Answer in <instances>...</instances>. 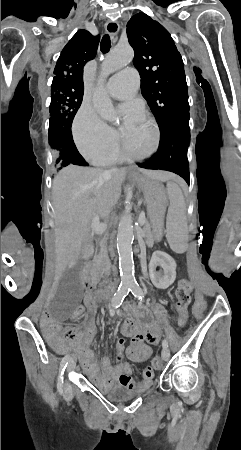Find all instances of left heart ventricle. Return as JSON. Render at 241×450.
<instances>
[{"mask_svg": "<svg viewBox=\"0 0 241 450\" xmlns=\"http://www.w3.org/2000/svg\"><path fill=\"white\" fill-rule=\"evenodd\" d=\"M151 122L154 121L150 115L143 114L139 120L128 121L122 128L126 138L123 151L129 157H132L133 160H140L142 157L141 153H146L150 150L148 145L153 138L155 128L151 127Z\"/></svg>", "mask_w": 241, "mask_h": 450, "instance_id": "obj_1", "label": "left heart ventricle"}]
</instances>
